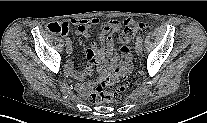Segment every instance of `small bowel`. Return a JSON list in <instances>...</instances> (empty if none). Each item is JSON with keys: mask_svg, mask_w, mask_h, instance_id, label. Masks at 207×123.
<instances>
[{"mask_svg": "<svg viewBox=\"0 0 207 123\" xmlns=\"http://www.w3.org/2000/svg\"><path fill=\"white\" fill-rule=\"evenodd\" d=\"M96 19L92 20H66L60 22L61 30L60 33L63 36L68 34L69 28L72 25L78 26V34L81 36L80 42L83 43L84 40L89 36L91 31V26L96 23ZM131 23V20L126 19L123 22L118 20H111L104 25L103 31L100 36L101 45L97 46L92 43L87 49V57L89 58V63L87 67L82 71H74L72 62L68 61L66 63V69L71 77L76 79L78 83L76 84V90L84 97L89 96L92 91L94 80L93 76V66L98 64L101 66V73L104 74L107 68L104 66V61L107 57L109 61V66L112 70H119L121 72L128 71L130 69L129 53L124 54V60L119 62L118 53L114 47V41L112 34L118 31L122 24ZM89 79V81H85Z\"/></svg>", "mask_w": 207, "mask_h": 123, "instance_id": "small-bowel-1", "label": "small bowel"}]
</instances>
